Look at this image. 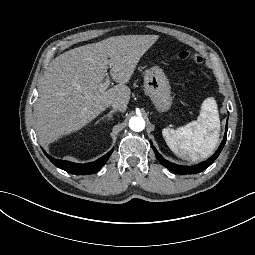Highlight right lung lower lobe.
Here are the masks:
<instances>
[{
    "instance_id": "98d812e1",
    "label": "right lung lower lobe",
    "mask_w": 255,
    "mask_h": 255,
    "mask_svg": "<svg viewBox=\"0 0 255 255\" xmlns=\"http://www.w3.org/2000/svg\"><path fill=\"white\" fill-rule=\"evenodd\" d=\"M113 149L110 150L107 154L99 158L98 160L90 163H85V164H78V163H73L65 160H59L51 157L50 155L46 154L45 155L48 157V159L57 167L63 169L64 171L71 173V174H76V175H87V174H92L97 172L102 168V166L106 163L110 155L112 154Z\"/></svg>"
}]
</instances>
